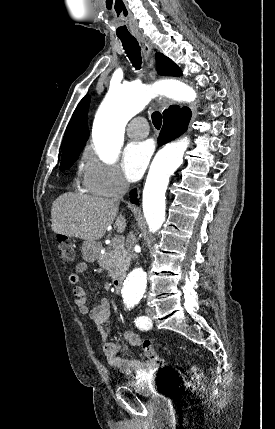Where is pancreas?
Masks as SVG:
<instances>
[{
	"label": "pancreas",
	"instance_id": "cf45deb5",
	"mask_svg": "<svg viewBox=\"0 0 275 429\" xmlns=\"http://www.w3.org/2000/svg\"><path fill=\"white\" fill-rule=\"evenodd\" d=\"M125 254L121 247V242L116 241L105 250L104 254L99 255V264L106 270L112 278L117 277L125 268Z\"/></svg>",
	"mask_w": 275,
	"mask_h": 429
}]
</instances>
